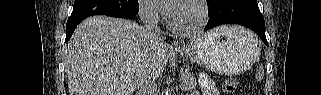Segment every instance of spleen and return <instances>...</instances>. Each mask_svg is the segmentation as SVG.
Returning <instances> with one entry per match:
<instances>
[{"mask_svg":"<svg viewBox=\"0 0 321 95\" xmlns=\"http://www.w3.org/2000/svg\"><path fill=\"white\" fill-rule=\"evenodd\" d=\"M263 76H264V71H263V68L260 67V68L258 69V77H259V79H262Z\"/></svg>","mask_w":321,"mask_h":95,"instance_id":"spleen-1","label":"spleen"}]
</instances>
